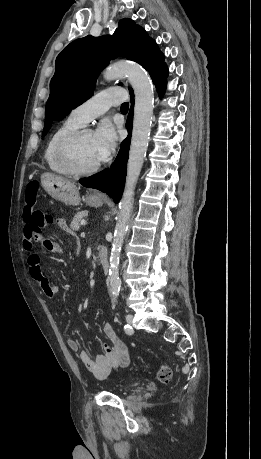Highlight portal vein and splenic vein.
I'll return each mask as SVG.
<instances>
[{
  "instance_id": "1",
  "label": "portal vein and splenic vein",
  "mask_w": 261,
  "mask_h": 459,
  "mask_svg": "<svg viewBox=\"0 0 261 459\" xmlns=\"http://www.w3.org/2000/svg\"><path fill=\"white\" fill-rule=\"evenodd\" d=\"M81 224H82V225H86V222H85V221H82Z\"/></svg>"
}]
</instances>
